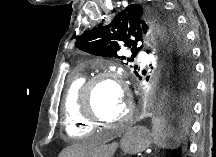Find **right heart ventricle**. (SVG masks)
Returning <instances> with one entry per match:
<instances>
[{
  "label": "right heart ventricle",
  "instance_id": "e07e8e85",
  "mask_svg": "<svg viewBox=\"0 0 216 157\" xmlns=\"http://www.w3.org/2000/svg\"><path fill=\"white\" fill-rule=\"evenodd\" d=\"M86 81L84 74H72L63 93L61 110L63 114V127L67 135L82 137L92 133L93 124L86 120L79 110L78 96L83 83Z\"/></svg>",
  "mask_w": 216,
  "mask_h": 157
}]
</instances>
